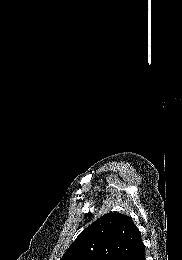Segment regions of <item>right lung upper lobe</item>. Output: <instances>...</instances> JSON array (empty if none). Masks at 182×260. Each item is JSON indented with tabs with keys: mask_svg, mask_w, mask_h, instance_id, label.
Instances as JSON below:
<instances>
[{
	"mask_svg": "<svg viewBox=\"0 0 182 260\" xmlns=\"http://www.w3.org/2000/svg\"><path fill=\"white\" fill-rule=\"evenodd\" d=\"M143 248L131 217L107 213L78 235L61 260H131Z\"/></svg>",
	"mask_w": 182,
	"mask_h": 260,
	"instance_id": "obj_1",
	"label": "right lung upper lobe"
}]
</instances>
